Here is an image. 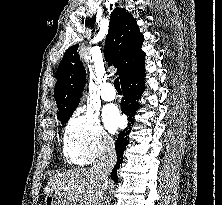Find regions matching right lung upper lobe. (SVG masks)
Wrapping results in <instances>:
<instances>
[{
    "label": "right lung upper lobe",
    "instance_id": "1",
    "mask_svg": "<svg viewBox=\"0 0 222 205\" xmlns=\"http://www.w3.org/2000/svg\"><path fill=\"white\" fill-rule=\"evenodd\" d=\"M109 30L105 41V59L117 68L116 74L124 81L145 66V53L141 46L144 37L132 14L123 8L111 13ZM78 45L64 54L58 69L54 97L57 103L58 120L70 118L79 104L86 82V71L77 53Z\"/></svg>",
    "mask_w": 222,
    "mask_h": 205
}]
</instances>
